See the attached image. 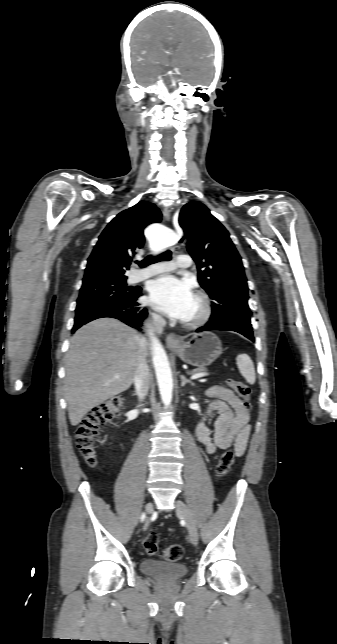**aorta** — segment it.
Returning <instances> with one entry per match:
<instances>
[{"label": "aorta", "mask_w": 337, "mask_h": 644, "mask_svg": "<svg viewBox=\"0 0 337 644\" xmlns=\"http://www.w3.org/2000/svg\"><path fill=\"white\" fill-rule=\"evenodd\" d=\"M151 237L158 242L159 245L164 246L175 242L173 234L169 231L162 229L159 232L151 233ZM151 351L152 360L155 368L157 383L160 391L162 402L168 406L172 401L173 392V378L168 361V357L164 348L159 340L151 333Z\"/></svg>", "instance_id": "762f6f07"}]
</instances>
